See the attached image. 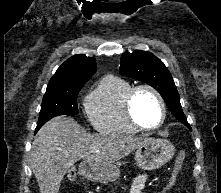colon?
<instances>
[{
    "label": "colon",
    "instance_id": "obj_1",
    "mask_svg": "<svg viewBox=\"0 0 221 193\" xmlns=\"http://www.w3.org/2000/svg\"><path fill=\"white\" fill-rule=\"evenodd\" d=\"M184 161H185V152L184 151H181L176 160H175V164H174V167H173V171H172V174H171V177L166 185V187L164 188V190H167L169 188H171L175 182V179L178 175V173L180 172L183 164H184Z\"/></svg>",
    "mask_w": 221,
    "mask_h": 193
}]
</instances>
